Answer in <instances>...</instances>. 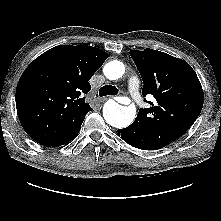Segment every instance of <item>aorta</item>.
I'll use <instances>...</instances> for the list:
<instances>
[{
  "label": "aorta",
  "mask_w": 221,
  "mask_h": 221,
  "mask_svg": "<svg viewBox=\"0 0 221 221\" xmlns=\"http://www.w3.org/2000/svg\"><path fill=\"white\" fill-rule=\"evenodd\" d=\"M103 72L109 80H117L125 73V67L122 62L113 60L105 64ZM135 115L136 110L134 106L124 107L114 100H108L103 107L105 121L116 128L129 126L133 122Z\"/></svg>",
  "instance_id": "obj_1"
}]
</instances>
